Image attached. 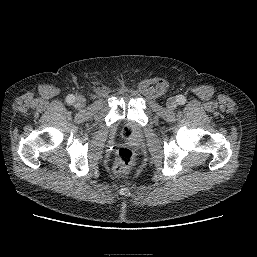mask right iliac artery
I'll list each match as a JSON object with an SVG mask.
<instances>
[{"instance_id": "obj_1", "label": "right iliac artery", "mask_w": 257, "mask_h": 257, "mask_svg": "<svg viewBox=\"0 0 257 257\" xmlns=\"http://www.w3.org/2000/svg\"><path fill=\"white\" fill-rule=\"evenodd\" d=\"M74 101H75V97H74L73 95H68V96H67L66 102H67L68 104H72V103H74Z\"/></svg>"}]
</instances>
